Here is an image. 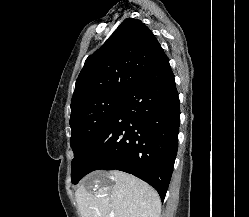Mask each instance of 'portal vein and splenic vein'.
I'll use <instances>...</instances> for the list:
<instances>
[{
	"instance_id": "18ae733b",
	"label": "portal vein and splenic vein",
	"mask_w": 249,
	"mask_h": 217,
	"mask_svg": "<svg viewBox=\"0 0 249 217\" xmlns=\"http://www.w3.org/2000/svg\"><path fill=\"white\" fill-rule=\"evenodd\" d=\"M110 217H114V215L113 214H111V216Z\"/></svg>"
}]
</instances>
